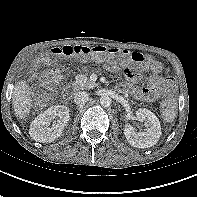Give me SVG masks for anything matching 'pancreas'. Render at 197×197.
<instances>
[{
  "mask_svg": "<svg viewBox=\"0 0 197 197\" xmlns=\"http://www.w3.org/2000/svg\"><path fill=\"white\" fill-rule=\"evenodd\" d=\"M97 84L92 82L87 78L84 74H78L75 76V81L73 82V86L75 89H91L94 88Z\"/></svg>",
  "mask_w": 197,
  "mask_h": 197,
  "instance_id": "1",
  "label": "pancreas"
}]
</instances>
